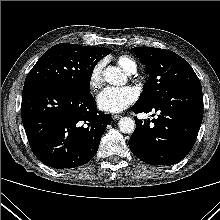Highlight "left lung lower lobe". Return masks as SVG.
I'll return each mask as SVG.
<instances>
[{
	"label": "left lung lower lobe",
	"mask_w": 220,
	"mask_h": 220,
	"mask_svg": "<svg viewBox=\"0 0 220 220\" xmlns=\"http://www.w3.org/2000/svg\"><path fill=\"white\" fill-rule=\"evenodd\" d=\"M135 113L159 112L157 119H135L136 129L129 139L132 153L151 165H173L192 149L203 119L201 84L172 91L153 104L135 103Z\"/></svg>",
	"instance_id": "0a47b994"
}]
</instances>
